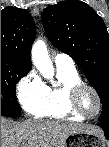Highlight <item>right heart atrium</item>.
<instances>
[{"instance_id": "1", "label": "right heart atrium", "mask_w": 109, "mask_h": 147, "mask_svg": "<svg viewBox=\"0 0 109 147\" xmlns=\"http://www.w3.org/2000/svg\"><path fill=\"white\" fill-rule=\"evenodd\" d=\"M16 94L23 106L42 103L46 98L44 83L34 74L29 73L17 84Z\"/></svg>"}]
</instances>
